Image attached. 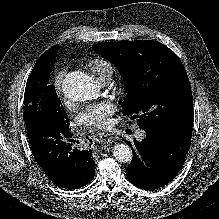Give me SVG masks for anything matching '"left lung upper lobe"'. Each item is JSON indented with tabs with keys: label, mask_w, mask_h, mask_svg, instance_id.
Returning <instances> with one entry per match:
<instances>
[{
	"label": "left lung upper lobe",
	"mask_w": 219,
	"mask_h": 219,
	"mask_svg": "<svg viewBox=\"0 0 219 219\" xmlns=\"http://www.w3.org/2000/svg\"><path fill=\"white\" fill-rule=\"evenodd\" d=\"M124 77V116L137 118L146 132L172 134L192 130L194 115L190 82L180 58L158 41L94 44Z\"/></svg>",
	"instance_id": "left-lung-upper-lobe-1"
}]
</instances>
